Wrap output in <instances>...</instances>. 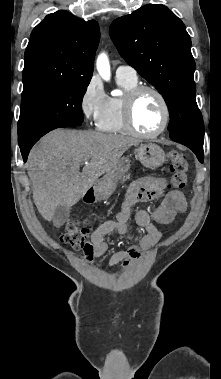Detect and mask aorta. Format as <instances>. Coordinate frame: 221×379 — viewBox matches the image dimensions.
I'll return each instance as SVG.
<instances>
[{
  "label": "aorta",
  "instance_id": "1",
  "mask_svg": "<svg viewBox=\"0 0 221 379\" xmlns=\"http://www.w3.org/2000/svg\"><path fill=\"white\" fill-rule=\"evenodd\" d=\"M96 65L100 76L106 81L110 80V65L105 53L99 55ZM115 94H117V92Z\"/></svg>",
  "mask_w": 221,
  "mask_h": 379
}]
</instances>
